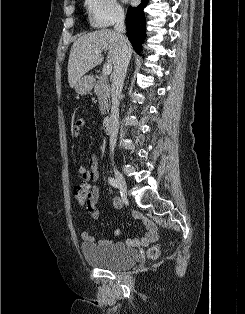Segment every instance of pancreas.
<instances>
[{
  "label": "pancreas",
  "instance_id": "1",
  "mask_svg": "<svg viewBox=\"0 0 245 314\" xmlns=\"http://www.w3.org/2000/svg\"><path fill=\"white\" fill-rule=\"evenodd\" d=\"M94 93L99 100L100 113L105 115L110 101V85L105 77H97V81L94 83Z\"/></svg>",
  "mask_w": 245,
  "mask_h": 314
}]
</instances>
